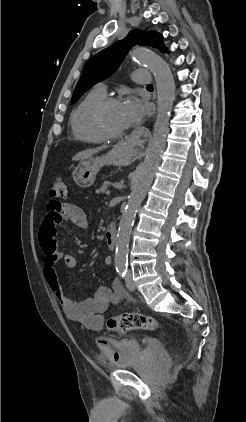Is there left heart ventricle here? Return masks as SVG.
I'll list each match as a JSON object with an SVG mask.
<instances>
[{
	"mask_svg": "<svg viewBox=\"0 0 246 422\" xmlns=\"http://www.w3.org/2000/svg\"><path fill=\"white\" fill-rule=\"evenodd\" d=\"M105 123L113 131H123L126 129L122 104L112 105L105 112Z\"/></svg>",
	"mask_w": 246,
	"mask_h": 422,
	"instance_id": "1",
	"label": "left heart ventricle"
}]
</instances>
